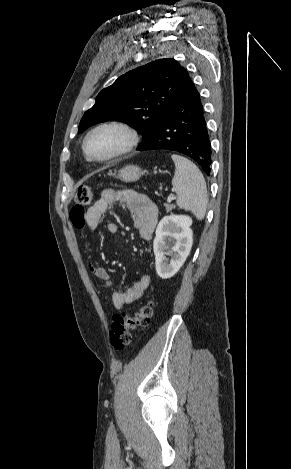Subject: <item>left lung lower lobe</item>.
I'll return each instance as SVG.
<instances>
[{
    "label": "left lung lower lobe",
    "instance_id": "left-lung-lower-lobe-1",
    "mask_svg": "<svg viewBox=\"0 0 291 469\" xmlns=\"http://www.w3.org/2000/svg\"><path fill=\"white\" fill-rule=\"evenodd\" d=\"M168 149L195 160L211 172V144L200 95L192 82L137 150Z\"/></svg>",
    "mask_w": 291,
    "mask_h": 469
}]
</instances>
